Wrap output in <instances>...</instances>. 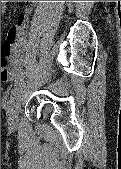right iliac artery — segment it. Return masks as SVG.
I'll return each mask as SVG.
<instances>
[{"instance_id": "82829eb1", "label": "right iliac artery", "mask_w": 121, "mask_h": 169, "mask_svg": "<svg viewBox=\"0 0 121 169\" xmlns=\"http://www.w3.org/2000/svg\"><path fill=\"white\" fill-rule=\"evenodd\" d=\"M24 80V73H22L21 75H19L16 79H15V86H19L20 84L23 83ZM16 90V88H15Z\"/></svg>"}]
</instances>
